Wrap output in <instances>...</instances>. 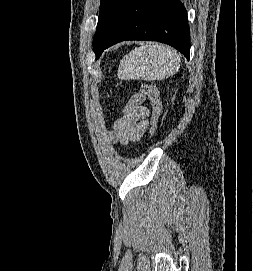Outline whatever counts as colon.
Returning a JSON list of instances; mask_svg holds the SVG:
<instances>
[{"instance_id": "1", "label": "colon", "mask_w": 253, "mask_h": 271, "mask_svg": "<svg viewBox=\"0 0 253 271\" xmlns=\"http://www.w3.org/2000/svg\"><path fill=\"white\" fill-rule=\"evenodd\" d=\"M141 96L149 100L152 107L151 126L149 133L154 136L160 129L162 118L161 102L158 98L156 88L152 84H145L141 89Z\"/></svg>"}]
</instances>
